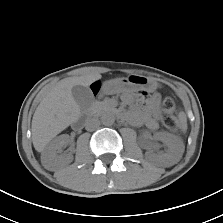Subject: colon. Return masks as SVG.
Returning a JSON list of instances; mask_svg holds the SVG:
<instances>
[{"label":"colon","mask_w":223,"mask_h":223,"mask_svg":"<svg viewBox=\"0 0 223 223\" xmlns=\"http://www.w3.org/2000/svg\"><path fill=\"white\" fill-rule=\"evenodd\" d=\"M163 107H164V111L166 113L165 117H164V125L170 129V130H177V121L176 119L171 115L172 111L175 108V102L172 98L167 97L164 100L163 103Z\"/></svg>","instance_id":"5ec220e1"}]
</instances>
